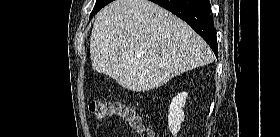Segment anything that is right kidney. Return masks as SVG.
<instances>
[{
	"label": "right kidney",
	"instance_id": "1",
	"mask_svg": "<svg viewBox=\"0 0 280 137\" xmlns=\"http://www.w3.org/2000/svg\"><path fill=\"white\" fill-rule=\"evenodd\" d=\"M187 92H181L172 99L169 106L168 126L171 133L176 136L181 128V123L184 121L183 107L186 103Z\"/></svg>",
	"mask_w": 280,
	"mask_h": 137
}]
</instances>
